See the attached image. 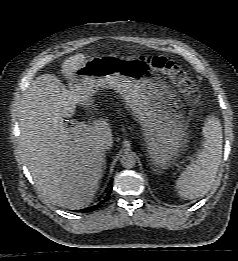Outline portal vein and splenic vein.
Segmentation results:
<instances>
[{
  "label": "portal vein and splenic vein",
  "mask_w": 238,
  "mask_h": 261,
  "mask_svg": "<svg viewBox=\"0 0 238 261\" xmlns=\"http://www.w3.org/2000/svg\"><path fill=\"white\" fill-rule=\"evenodd\" d=\"M90 128V125L84 124V123H77L72 127L71 131L74 135H79L81 133H84L88 131Z\"/></svg>",
  "instance_id": "1"
}]
</instances>
